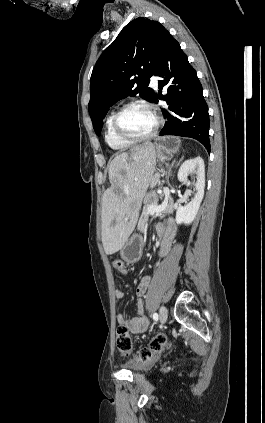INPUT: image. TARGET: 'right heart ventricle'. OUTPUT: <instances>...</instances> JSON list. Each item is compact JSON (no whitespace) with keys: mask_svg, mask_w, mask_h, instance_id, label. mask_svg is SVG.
I'll list each match as a JSON object with an SVG mask.
<instances>
[{"mask_svg":"<svg viewBox=\"0 0 265 423\" xmlns=\"http://www.w3.org/2000/svg\"><path fill=\"white\" fill-rule=\"evenodd\" d=\"M116 114V111H112L105 122V133H104V137H105V141L107 143V145L114 151H125L128 148H130L133 144L132 143H128L125 141H122L121 139H119L114 131H113V118Z\"/></svg>","mask_w":265,"mask_h":423,"instance_id":"obj_1","label":"right heart ventricle"}]
</instances>
